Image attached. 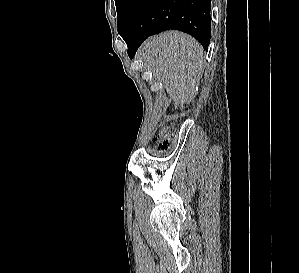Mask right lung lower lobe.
I'll list each match as a JSON object with an SVG mask.
<instances>
[{
    "mask_svg": "<svg viewBox=\"0 0 299 273\" xmlns=\"http://www.w3.org/2000/svg\"><path fill=\"white\" fill-rule=\"evenodd\" d=\"M210 10L211 0H134L119 33L130 58L147 37L169 29L190 34L207 49Z\"/></svg>",
    "mask_w": 299,
    "mask_h": 273,
    "instance_id": "1",
    "label": "right lung lower lobe"
}]
</instances>
